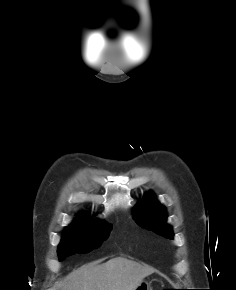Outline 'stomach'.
<instances>
[{"instance_id": "obj_1", "label": "stomach", "mask_w": 236, "mask_h": 290, "mask_svg": "<svg viewBox=\"0 0 236 290\" xmlns=\"http://www.w3.org/2000/svg\"><path fill=\"white\" fill-rule=\"evenodd\" d=\"M150 285L146 281H142L140 285L135 290H150Z\"/></svg>"}]
</instances>
